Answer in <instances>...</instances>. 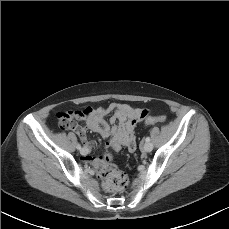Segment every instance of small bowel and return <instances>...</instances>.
<instances>
[{
    "label": "small bowel",
    "instance_id": "c3829d8e",
    "mask_svg": "<svg viewBox=\"0 0 229 229\" xmlns=\"http://www.w3.org/2000/svg\"><path fill=\"white\" fill-rule=\"evenodd\" d=\"M113 112L110 126L104 117ZM141 109L133 108L126 104L112 103L108 107L86 108L85 110L74 112L76 119L84 121V125L75 124L70 129L74 130L84 144L87 153L84 160L100 171L104 163L109 159V155L103 157L89 156V150L96 146V142L87 137V131L99 133L104 138L110 139V147L113 151L118 152L122 146H127L130 151L135 150L134 129L142 121L139 117Z\"/></svg>",
    "mask_w": 229,
    "mask_h": 229
}]
</instances>
